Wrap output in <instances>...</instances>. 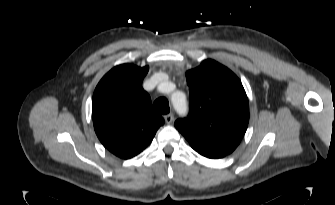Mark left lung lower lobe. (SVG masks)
Returning a JSON list of instances; mask_svg holds the SVG:
<instances>
[{
	"label": "left lung lower lobe",
	"mask_w": 335,
	"mask_h": 205,
	"mask_svg": "<svg viewBox=\"0 0 335 205\" xmlns=\"http://www.w3.org/2000/svg\"><path fill=\"white\" fill-rule=\"evenodd\" d=\"M197 151V150H196ZM198 153H200L201 155L208 157V158H212V159H218V158H222L226 155H220V154H215V153H204L201 151H197Z\"/></svg>",
	"instance_id": "1"
}]
</instances>
